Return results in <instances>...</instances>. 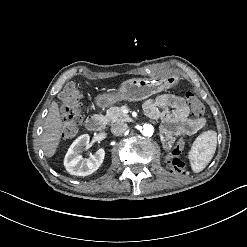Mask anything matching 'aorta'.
Here are the masks:
<instances>
[{"instance_id":"762f6f07","label":"aorta","mask_w":247,"mask_h":247,"mask_svg":"<svg viewBox=\"0 0 247 247\" xmlns=\"http://www.w3.org/2000/svg\"><path fill=\"white\" fill-rule=\"evenodd\" d=\"M141 133L146 137H150L154 133V127L151 124L145 123L142 126Z\"/></svg>"}]
</instances>
